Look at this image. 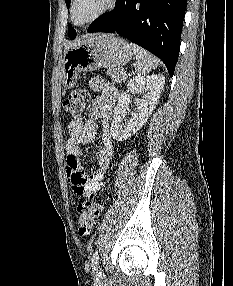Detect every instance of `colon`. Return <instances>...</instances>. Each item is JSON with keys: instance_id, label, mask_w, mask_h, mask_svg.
<instances>
[{"instance_id": "obj_1", "label": "colon", "mask_w": 233, "mask_h": 286, "mask_svg": "<svg viewBox=\"0 0 233 286\" xmlns=\"http://www.w3.org/2000/svg\"><path fill=\"white\" fill-rule=\"evenodd\" d=\"M88 100V92L83 89L72 91L63 103L65 112L78 119L85 107ZM102 210V205L98 202L85 201L77 207V226L80 236L88 235L94 225L95 220L99 217Z\"/></svg>"}]
</instances>
